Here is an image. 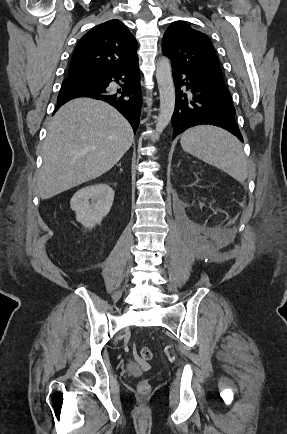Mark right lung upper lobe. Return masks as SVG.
<instances>
[{"label": "right lung upper lobe", "instance_id": "cb5924a9", "mask_svg": "<svg viewBox=\"0 0 287 434\" xmlns=\"http://www.w3.org/2000/svg\"><path fill=\"white\" fill-rule=\"evenodd\" d=\"M137 48L135 37L123 22L114 19L99 24L78 42L67 79L100 70L136 65Z\"/></svg>", "mask_w": 287, "mask_h": 434}]
</instances>
